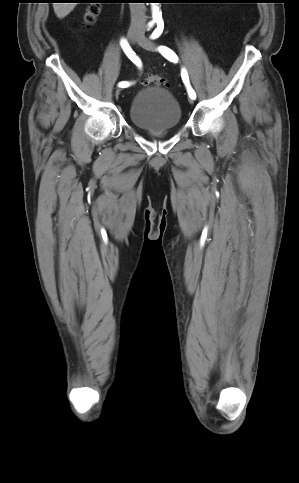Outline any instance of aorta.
Masks as SVG:
<instances>
[{
  "label": "aorta",
  "instance_id": "1",
  "mask_svg": "<svg viewBox=\"0 0 299 483\" xmlns=\"http://www.w3.org/2000/svg\"><path fill=\"white\" fill-rule=\"evenodd\" d=\"M151 6H152V16H153V20H159L161 19V11H160V8L158 6V3H151Z\"/></svg>",
  "mask_w": 299,
  "mask_h": 483
}]
</instances>
